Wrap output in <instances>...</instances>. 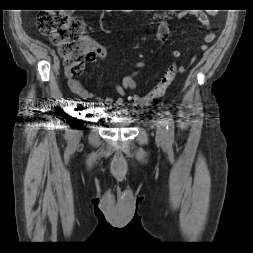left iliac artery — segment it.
Returning <instances> with one entry per match:
<instances>
[{
	"mask_svg": "<svg viewBox=\"0 0 253 253\" xmlns=\"http://www.w3.org/2000/svg\"><path fill=\"white\" fill-rule=\"evenodd\" d=\"M166 118V129H167V140L172 143L174 142V121L169 111L165 112Z\"/></svg>",
	"mask_w": 253,
	"mask_h": 253,
	"instance_id": "obj_1",
	"label": "left iliac artery"
}]
</instances>
